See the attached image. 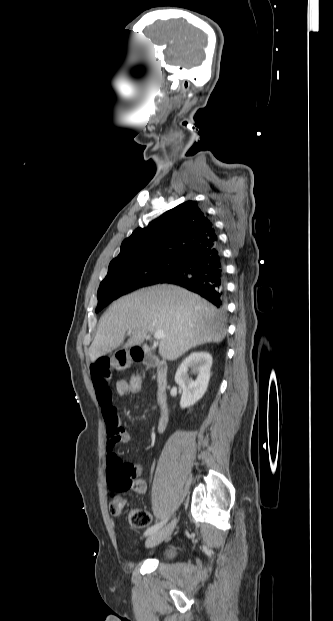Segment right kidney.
I'll return each instance as SVG.
<instances>
[{
    "instance_id": "1",
    "label": "right kidney",
    "mask_w": 333,
    "mask_h": 621,
    "mask_svg": "<svg viewBox=\"0 0 333 621\" xmlns=\"http://www.w3.org/2000/svg\"><path fill=\"white\" fill-rule=\"evenodd\" d=\"M212 357L206 351H196L187 356L175 374V382L182 388L180 406L187 408L194 405L205 394L209 379ZM189 369L196 379L189 378Z\"/></svg>"
}]
</instances>
